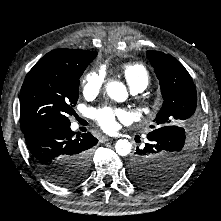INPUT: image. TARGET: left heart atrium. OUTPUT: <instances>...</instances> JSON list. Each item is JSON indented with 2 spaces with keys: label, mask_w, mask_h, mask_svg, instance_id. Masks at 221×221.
Segmentation results:
<instances>
[{
  "label": "left heart atrium",
  "mask_w": 221,
  "mask_h": 221,
  "mask_svg": "<svg viewBox=\"0 0 221 221\" xmlns=\"http://www.w3.org/2000/svg\"><path fill=\"white\" fill-rule=\"evenodd\" d=\"M92 117L103 130L112 132L116 129L118 121L128 119V114L120 108L102 107L93 110Z\"/></svg>",
  "instance_id": "39dd6f15"
}]
</instances>
